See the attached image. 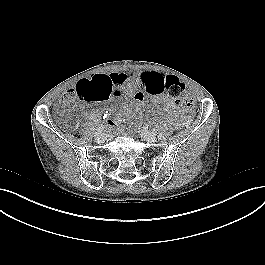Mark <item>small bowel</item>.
<instances>
[{
    "label": "small bowel",
    "instance_id": "c3829d8e",
    "mask_svg": "<svg viewBox=\"0 0 265 265\" xmlns=\"http://www.w3.org/2000/svg\"><path fill=\"white\" fill-rule=\"evenodd\" d=\"M165 74L162 71L145 70L139 74L134 73H110L97 74L83 78L81 80L92 81L96 78L106 79L111 87L112 93L116 96L132 94L136 90L153 96L152 106H163L168 112L175 113L179 109V103L164 95L166 84L164 82ZM129 110V108L127 109ZM99 117L96 111L87 114V118L95 120ZM107 127L117 125L116 120L108 119L105 121Z\"/></svg>",
    "mask_w": 265,
    "mask_h": 265
}]
</instances>
